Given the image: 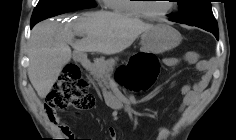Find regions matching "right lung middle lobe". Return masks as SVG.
Listing matches in <instances>:
<instances>
[{"instance_id":"1","label":"right lung middle lobe","mask_w":236,"mask_h":140,"mask_svg":"<svg viewBox=\"0 0 236 140\" xmlns=\"http://www.w3.org/2000/svg\"><path fill=\"white\" fill-rule=\"evenodd\" d=\"M95 6L93 0H39L33 11L31 23L36 24L49 17Z\"/></svg>"}]
</instances>
